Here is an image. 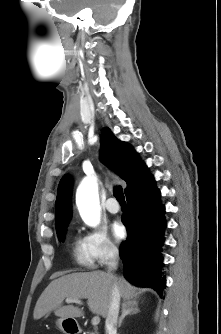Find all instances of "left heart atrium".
<instances>
[{"instance_id": "left-heart-atrium-1", "label": "left heart atrium", "mask_w": 221, "mask_h": 334, "mask_svg": "<svg viewBox=\"0 0 221 334\" xmlns=\"http://www.w3.org/2000/svg\"><path fill=\"white\" fill-rule=\"evenodd\" d=\"M111 232L116 240H121L125 235V228L120 222L116 221L111 226Z\"/></svg>"}]
</instances>
